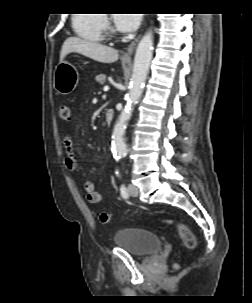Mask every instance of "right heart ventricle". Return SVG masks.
I'll use <instances>...</instances> for the list:
<instances>
[{
  "label": "right heart ventricle",
  "instance_id": "1",
  "mask_svg": "<svg viewBox=\"0 0 252 303\" xmlns=\"http://www.w3.org/2000/svg\"><path fill=\"white\" fill-rule=\"evenodd\" d=\"M73 25L81 36L97 40L105 36L106 20L103 14H78L73 18Z\"/></svg>",
  "mask_w": 252,
  "mask_h": 303
}]
</instances>
